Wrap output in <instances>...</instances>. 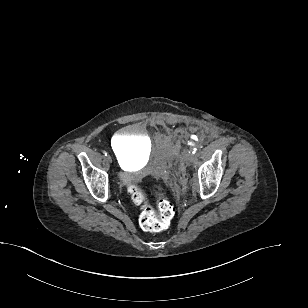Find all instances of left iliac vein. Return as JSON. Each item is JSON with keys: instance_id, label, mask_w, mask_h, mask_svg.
<instances>
[{"instance_id": "left-iliac-vein-1", "label": "left iliac vein", "mask_w": 308, "mask_h": 308, "mask_svg": "<svg viewBox=\"0 0 308 308\" xmlns=\"http://www.w3.org/2000/svg\"><path fill=\"white\" fill-rule=\"evenodd\" d=\"M193 159H194V155L191 151H185L183 153V160L185 163H190L193 161Z\"/></svg>"}]
</instances>
